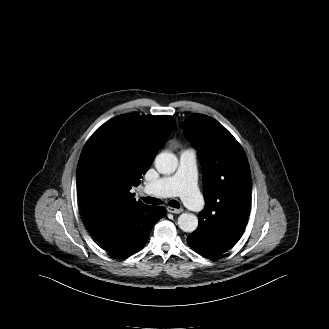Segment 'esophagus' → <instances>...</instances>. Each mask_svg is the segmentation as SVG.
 I'll list each match as a JSON object with an SVG mask.
<instances>
[{
	"mask_svg": "<svg viewBox=\"0 0 329 329\" xmlns=\"http://www.w3.org/2000/svg\"><path fill=\"white\" fill-rule=\"evenodd\" d=\"M167 211L170 212V213L179 214L183 211V209L182 208L167 207Z\"/></svg>",
	"mask_w": 329,
	"mask_h": 329,
	"instance_id": "34e87169",
	"label": "esophagus"
}]
</instances>
